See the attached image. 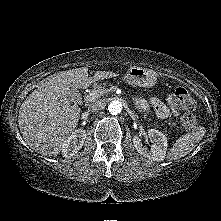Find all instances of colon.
Instances as JSON below:
<instances>
[{
	"label": "colon",
	"mask_w": 221,
	"mask_h": 221,
	"mask_svg": "<svg viewBox=\"0 0 221 221\" xmlns=\"http://www.w3.org/2000/svg\"><path fill=\"white\" fill-rule=\"evenodd\" d=\"M175 107L182 110L184 114L181 117V125L185 129H191L196 126L197 120L193 111L195 110V101L184 88H177L174 92Z\"/></svg>",
	"instance_id": "obj_1"
}]
</instances>
